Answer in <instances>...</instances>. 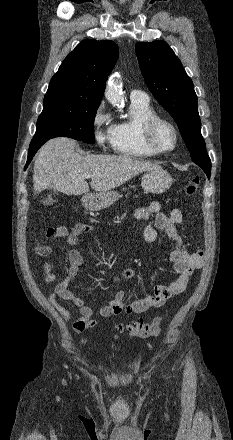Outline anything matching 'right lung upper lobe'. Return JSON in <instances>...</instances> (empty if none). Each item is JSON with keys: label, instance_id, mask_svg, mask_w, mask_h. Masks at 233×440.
Wrapping results in <instances>:
<instances>
[{"label": "right lung upper lobe", "instance_id": "cb5924a9", "mask_svg": "<svg viewBox=\"0 0 233 440\" xmlns=\"http://www.w3.org/2000/svg\"><path fill=\"white\" fill-rule=\"evenodd\" d=\"M118 58L110 40H83L64 59L52 77L43 102L72 100L100 103L106 79Z\"/></svg>", "mask_w": 233, "mask_h": 440}]
</instances>
